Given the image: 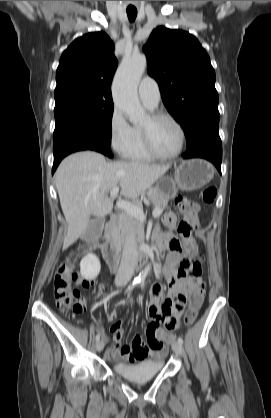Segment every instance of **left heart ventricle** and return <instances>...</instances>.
Here are the masks:
<instances>
[{
  "mask_svg": "<svg viewBox=\"0 0 271 418\" xmlns=\"http://www.w3.org/2000/svg\"><path fill=\"white\" fill-rule=\"evenodd\" d=\"M142 127L149 128L152 142L158 152L168 155L174 153L179 148L180 133L171 121L161 119L151 122L147 118Z\"/></svg>",
  "mask_w": 271,
  "mask_h": 418,
  "instance_id": "left-heart-ventricle-1",
  "label": "left heart ventricle"
}]
</instances>
